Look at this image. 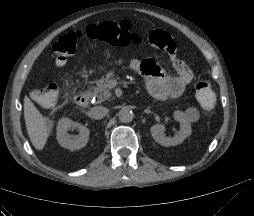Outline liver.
Wrapping results in <instances>:
<instances>
[{
  "label": "liver",
  "mask_w": 254,
  "mask_h": 216,
  "mask_svg": "<svg viewBox=\"0 0 254 216\" xmlns=\"http://www.w3.org/2000/svg\"><path fill=\"white\" fill-rule=\"evenodd\" d=\"M24 118L27 133L37 150H42L49 136L50 125L29 97L24 98Z\"/></svg>",
  "instance_id": "1"
}]
</instances>
